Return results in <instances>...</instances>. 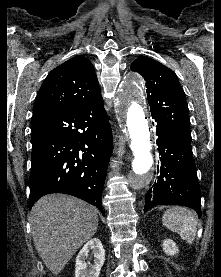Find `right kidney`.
<instances>
[{
	"instance_id": "right-kidney-1",
	"label": "right kidney",
	"mask_w": 221,
	"mask_h": 277,
	"mask_svg": "<svg viewBox=\"0 0 221 277\" xmlns=\"http://www.w3.org/2000/svg\"><path fill=\"white\" fill-rule=\"evenodd\" d=\"M90 251L94 254V264L88 269L86 259ZM104 261L105 250L101 241L98 238L89 240L76 257L75 277H99Z\"/></svg>"
}]
</instances>
